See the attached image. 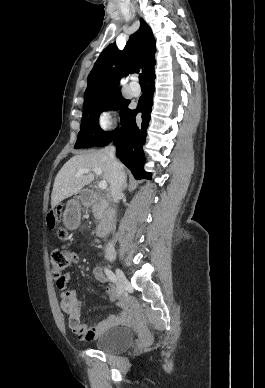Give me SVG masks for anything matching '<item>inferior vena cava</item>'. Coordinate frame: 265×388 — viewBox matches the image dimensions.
I'll return each instance as SVG.
<instances>
[{"label":"inferior vena cava","instance_id":"602c4592","mask_svg":"<svg viewBox=\"0 0 265 388\" xmlns=\"http://www.w3.org/2000/svg\"><path fill=\"white\" fill-rule=\"evenodd\" d=\"M115 152H116V148H114V146H111L107 154L109 156V160L112 168L111 182H110L111 196L113 198V202H119L122 196V188L125 184L124 182L125 174L122 168H120L119 162H117L115 158ZM105 256L106 258H113V256H115V250L112 242H109L108 246H106Z\"/></svg>","mask_w":265,"mask_h":388}]
</instances>
